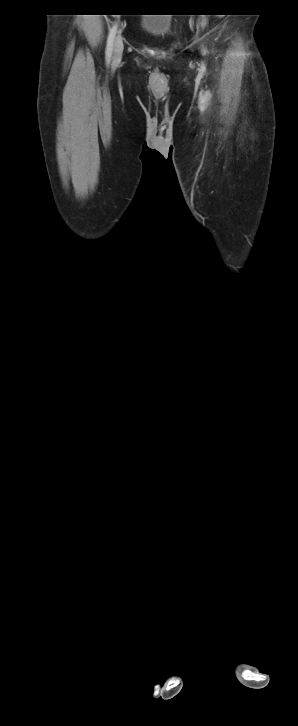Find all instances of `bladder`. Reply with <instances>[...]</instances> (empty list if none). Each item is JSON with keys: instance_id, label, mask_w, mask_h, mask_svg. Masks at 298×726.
Here are the masks:
<instances>
[{"instance_id": "1", "label": "bladder", "mask_w": 298, "mask_h": 726, "mask_svg": "<svg viewBox=\"0 0 298 726\" xmlns=\"http://www.w3.org/2000/svg\"><path fill=\"white\" fill-rule=\"evenodd\" d=\"M172 26V19L168 16L154 15L145 17L141 21V29L153 36L161 37L166 35Z\"/></svg>"}]
</instances>
